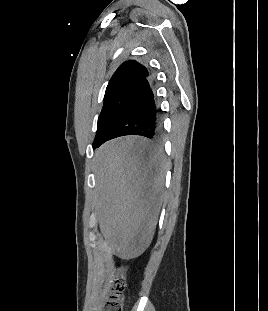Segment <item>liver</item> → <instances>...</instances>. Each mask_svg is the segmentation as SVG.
Wrapping results in <instances>:
<instances>
[{"mask_svg": "<svg viewBox=\"0 0 268 311\" xmlns=\"http://www.w3.org/2000/svg\"><path fill=\"white\" fill-rule=\"evenodd\" d=\"M94 208L102 237L122 259L142 254L162 205L165 159L137 136L104 143L94 156Z\"/></svg>", "mask_w": 268, "mask_h": 311, "instance_id": "1", "label": "liver"}]
</instances>
